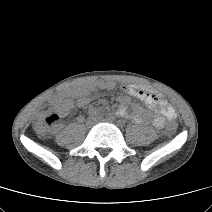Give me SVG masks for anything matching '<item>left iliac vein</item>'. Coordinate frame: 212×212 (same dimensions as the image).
<instances>
[{
  "mask_svg": "<svg viewBox=\"0 0 212 212\" xmlns=\"http://www.w3.org/2000/svg\"><path fill=\"white\" fill-rule=\"evenodd\" d=\"M104 121L110 122L111 120L110 119H105Z\"/></svg>",
  "mask_w": 212,
  "mask_h": 212,
  "instance_id": "left-iliac-vein-1",
  "label": "left iliac vein"
}]
</instances>
